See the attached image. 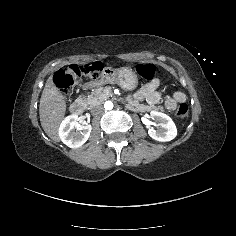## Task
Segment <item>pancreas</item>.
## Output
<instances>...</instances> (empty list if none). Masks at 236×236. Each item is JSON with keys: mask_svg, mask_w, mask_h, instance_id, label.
Returning <instances> with one entry per match:
<instances>
[{"mask_svg": "<svg viewBox=\"0 0 236 236\" xmlns=\"http://www.w3.org/2000/svg\"><path fill=\"white\" fill-rule=\"evenodd\" d=\"M112 96L111 89L109 87L103 88L99 87L94 89L89 95L87 96H80L81 102L87 105L88 108H92L97 103H102L106 99ZM128 104H126V108L134 111V112H145L151 110L150 106L139 104L137 101H133L131 96L126 98ZM162 109V108H161Z\"/></svg>", "mask_w": 236, "mask_h": 236, "instance_id": "obj_1", "label": "pancreas"}]
</instances>
